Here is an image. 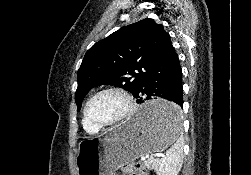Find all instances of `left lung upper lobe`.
<instances>
[{
	"mask_svg": "<svg viewBox=\"0 0 251 175\" xmlns=\"http://www.w3.org/2000/svg\"><path fill=\"white\" fill-rule=\"evenodd\" d=\"M169 39L162 24L143 19L95 43L86 52L77 73L78 111L86 94L98 85H115L134 95Z\"/></svg>",
	"mask_w": 251,
	"mask_h": 175,
	"instance_id": "5c2ea615",
	"label": "left lung upper lobe"
}]
</instances>
